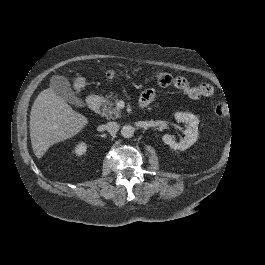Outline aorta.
<instances>
[{
    "label": "aorta",
    "mask_w": 265,
    "mask_h": 265,
    "mask_svg": "<svg viewBox=\"0 0 265 265\" xmlns=\"http://www.w3.org/2000/svg\"><path fill=\"white\" fill-rule=\"evenodd\" d=\"M134 127L131 125H124L121 129V134L124 138H131L134 135Z\"/></svg>",
    "instance_id": "obj_1"
}]
</instances>
